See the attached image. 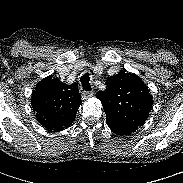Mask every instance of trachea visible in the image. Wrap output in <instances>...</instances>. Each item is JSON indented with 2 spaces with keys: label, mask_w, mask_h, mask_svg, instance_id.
<instances>
[{
  "label": "trachea",
  "mask_w": 183,
  "mask_h": 183,
  "mask_svg": "<svg viewBox=\"0 0 183 183\" xmlns=\"http://www.w3.org/2000/svg\"><path fill=\"white\" fill-rule=\"evenodd\" d=\"M90 77L89 74L86 73L80 78V82L82 83V87L84 91H91V87L89 86Z\"/></svg>",
  "instance_id": "1"
}]
</instances>
